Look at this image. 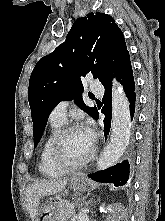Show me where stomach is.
I'll return each mask as SVG.
<instances>
[{"mask_svg":"<svg viewBox=\"0 0 165 221\" xmlns=\"http://www.w3.org/2000/svg\"><path fill=\"white\" fill-rule=\"evenodd\" d=\"M88 186L86 179L74 177L70 180V189L74 191H83ZM38 211L33 212L34 221H63V218L54 216L53 209H58L60 200H37Z\"/></svg>","mask_w":165,"mask_h":221,"instance_id":"0dacf381","label":"stomach"}]
</instances>
